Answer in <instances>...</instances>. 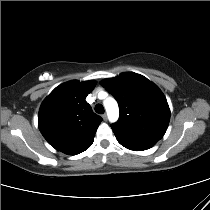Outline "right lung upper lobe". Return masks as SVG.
<instances>
[{"mask_svg":"<svg viewBox=\"0 0 210 210\" xmlns=\"http://www.w3.org/2000/svg\"><path fill=\"white\" fill-rule=\"evenodd\" d=\"M95 81H69L56 87L42 102L38 126L48 143L68 155L88 149L102 118L85 101Z\"/></svg>","mask_w":210,"mask_h":210,"instance_id":"1","label":"right lung upper lobe"}]
</instances>
